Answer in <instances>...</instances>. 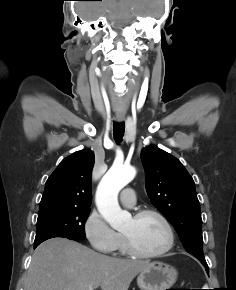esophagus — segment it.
I'll return each instance as SVG.
<instances>
[{"label":"esophagus","mask_w":236,"mask_h":290,"mask_svg":"<svg viewBox=\"0 0 236 290\" xmlns=\"http://www.w3.org/2000/svg\"><path fill=\"white\" fill-rule=\"evenodd\" d=\"M124 117H125V114H124V113H117V114H116V120H117L118 122L123 121V120H124Z\"/></svg>","instance_id":"obj_1"}]
</instances>
